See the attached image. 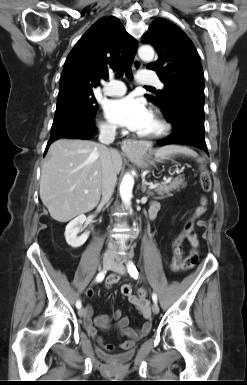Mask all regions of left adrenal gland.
<instances>
[{"mask_svg":"<svg viewBox=\"0 0 247 385\" xmlns=\"http://www.w3.org/2000/svg\"><path fill=\"white\" fill-rule=\"evenodd\" d=\"M146 187H147V185H146L145 181H142V193H146L148 196H152L153 194L151 191L148 190L146 192Z\"/></svg>","mask_w":247,"mask_h":385,"instance_id":"1","label":"left adrenal gland"}]
</instances>
